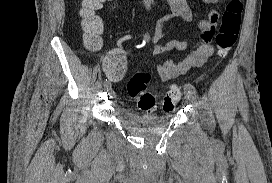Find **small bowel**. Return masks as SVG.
<instances>
[{
  "instance_id": "obj_1",
  "label": "small bowel",
  "mask_w": 272,
  "mask_h": 183,
  "mask_svg": "<svg viewBox=\"0 0 272 183\" xmlns=\"http://www.w3.org/2000/svg\"><path fill=\"white\" fill-rule=\"evenodd\" d=\"M171 14L179 17L184 21H191L194 16V9L189 5L187 0H167ZM208 4H215L219 0H202ZM219 14L217 11L212 10L208 17L202 19L198 26L201 31V38H198V43L190 45L185 41L172 40L165 46H156L154 48L155 54L167 53L173 49L186 50L191 48V53L188 54L182 61L174 62L167 60L158 66L157 70L160 78L163 81H170L183 76L191 68L202 66L208 58L213 54V47L209 43H214L215 31L218 30L217 25ZM146 40L155 42L158 40L159 35H146ZM104 69L107 76L113 80H120L126 71V57L122 48L113 49L104 60Z\"/></svg>"
}]
</instances>
